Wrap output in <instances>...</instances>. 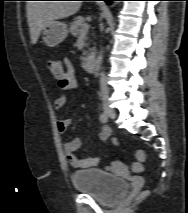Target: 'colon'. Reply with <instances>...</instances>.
I'll list each match as a JSON object with an SVG mask.
<instances>
[{
    "label": "colon",
    "mask_w": 188,
    "mask_h": 213,
    "mask_svg": "<svg viewBox=\"0 0 188 213\" xmlns=\"http://www.w3.org/2000/svg\"><path fill=\"white\" fill-rule=\"evenodd\" d=\"M48 67L52 74L55 77H60L62 75V66L58 59H50L48 61ZM137 162H135L132 166V170L135 173L141 172L143 170V161L145 160V152L142 149H138L136 151Z\"/></svg>",
    "instance_id": "colon-1"
}]
</instances>
